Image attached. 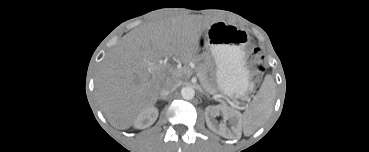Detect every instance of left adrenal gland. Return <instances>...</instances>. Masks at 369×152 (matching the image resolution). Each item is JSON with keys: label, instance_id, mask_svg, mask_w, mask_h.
I'll return each mask as SVG.
<instances>
[{"label": "left adrenal gland", "instance_id": "obj_1", "mask_svg": "<svg viewBox=\"0 0 369 152\" xmlns=\"http://www.w3.org/2000/svg\"><path fill=\"white\" fill-rule=\"evenodd\" d=\"M205 94V93H204ZM205 96L209 99L210 97H209V95H207V94H205Z\"/></svg>", "mask_w": 369, "mask_h": 152}]
</instances>
